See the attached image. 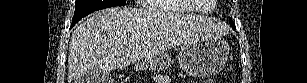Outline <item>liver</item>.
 <instances>
[{"mask_svg": "<svg viewBox=\"0 0 307 83\" xmlns=\"http://www.w3.org/2000/svg\"><path fill=\"white\" fill-rule=\"evenodd\" d=\"M224 26L210 18L112 8L76 27L68 57V83L89 70L108 73L199 38H218Z\"/></svg>", "mask_w": 307, "mask_h": 83, "instance_id": "liver-1", "label": "liver"}]
</instances>
